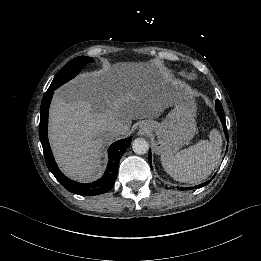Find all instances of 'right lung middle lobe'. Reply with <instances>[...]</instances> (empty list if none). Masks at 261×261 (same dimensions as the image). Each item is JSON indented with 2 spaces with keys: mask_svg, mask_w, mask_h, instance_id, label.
Listing matches in <instances>:
<instances>
[{
  "mask_svg": "<svg viewBox=\"0 0 261 261\" xmlns=\"http://www.w3.org/2000/svg\"><path fill=\"white\" fill-rule=\"evenodd\" d=\"M92 62L93 58L85 56H78L72 59L56 74L47 92L56 90L61 85L74 78L86 64Z\"/></svg>",
  "mask_w": 261,
  "mask_h": 261,
  "instance_id": "dd1d6c3e",
  "label": "right lung middle lobe"
}]
</instances>
